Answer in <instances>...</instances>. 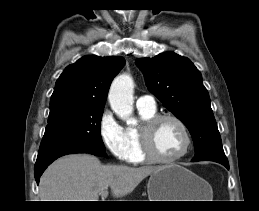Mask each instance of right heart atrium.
<instances>
[{"mask_svg": "<svg viewBox=\"0 0 259 211\" xmlns=\"http://www.w3.org/2000/svg\"><path fill=\"white\" fill-rule=\"evenodd\" d=\"M99 137L108 152L118 160L125 159V131L113 113L105 109L98 122Z\"/></svg>", "mask_w": 259, "mask_h": 211, "instance_id": "right-heart-atrium-1", "label": "right heart atrium"}]
</instances>
